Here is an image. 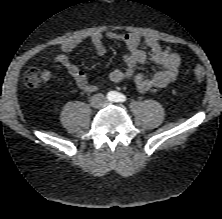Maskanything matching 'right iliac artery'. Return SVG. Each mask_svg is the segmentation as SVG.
Returning <instances> with one entry per match:
<instances>
[{"mask_svg": "<svg viewBox=\"0 0 222 219\" xmlns=\"http://www.w3.org/2000/svg\"><path fill=\"white\" fill-rule=\"evenodd\" d=\"M115 98V94L113 92L108 94V99L113 100Z\"/></svg>", "mask_w": 222, "mask_h": 219, "instance_id": "right-iliac-artery-1", "label": "right iliac artery"}]
</instances>
